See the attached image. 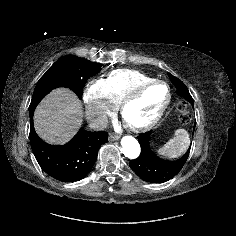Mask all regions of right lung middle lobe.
I'll return each instance as SVG.
<instances>
[{"label":"right lung middle lobe","instance_id":"1","mask_svg":"<svg viewBox=\"0 0 236 236\" xmlns=\"http://www.w3.org/2000/svg\"><path fill=\"white\" fill-rule=\"evenodd\" d=\"M101 66L72 55L61 57L38 81L29 109L36 107L50 91L58 87L69 88L81 98L86 81L99 73Z\"/></svg>","mask_w":236,"mask_h":236}]
</instances>
